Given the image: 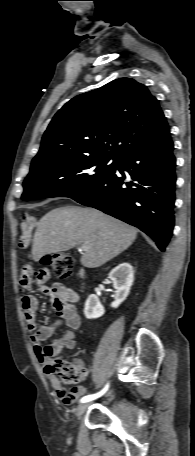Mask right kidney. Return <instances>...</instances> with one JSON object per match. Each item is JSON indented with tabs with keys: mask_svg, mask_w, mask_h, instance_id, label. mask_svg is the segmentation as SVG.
<instances>
[{
	"mask_svg": "<svg viewBox=\"0 0 195 456\" xmlns=\"http://www.w3.org/2000/svg\"><path fill=\"white\" fill-rule=\"evenodd\" d=\"M115 288V298L111 303L112 308H117L129 295L134 281L133 267L129 263H121L109 273ZM105 309L101 305L97 295L91 294L87 298L84 307V315L87 319H95L104 315Z\"/></svg>",
	"mask_w": 195,
	"mask_h": 456,
	"instance_id": "1",
	"label": "right kidney"
}]
</instances>
